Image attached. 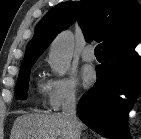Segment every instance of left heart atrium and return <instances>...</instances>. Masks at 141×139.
I'll return each mask as SVG.
<instances>
[{
    "instance_id": "39dd6f15",
    "label": "left heart atrium",
    "mask_w": 141,
    "mask_h": 139,
    "mask_svg": "<svg viewBox=\"0 0 141 139\" xmlns=\"http://www.w3.org/2000/svg\"><path fill=\"white\" fill-rule=\"evenodd\" d=\"M80 79L85 88L90 87L96 79L95 71L91 67L82 68L80 71Z\"/></svg>"
}]
</instances>
